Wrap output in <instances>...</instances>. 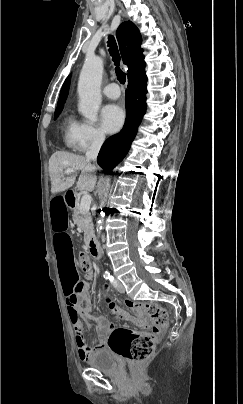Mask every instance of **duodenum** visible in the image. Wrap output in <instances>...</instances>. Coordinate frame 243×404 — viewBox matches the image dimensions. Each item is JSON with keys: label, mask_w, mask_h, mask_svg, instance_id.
I'll return each instance as SVG.
<instances>
[{"label": "duodenum", "mask_w": 243, "mask_h": 404, "mask_svg": "<svg viewBox=\"0 0 243 404\" xmlns=\"http://www.w3.org/2000/svg\"><path fill=\"white\" fill-rule=\"evenodd\" d=\"M65 198H66L67 205L70 209L76 210L78 208V197H77V194L72 189L66 190ZM87 247H88L90 254L95 259L100 258L99 247H98L97 241L95 239H93V238L89 239L88 243H87Z\"/></svg>", "instance_id": "duodenum-1"}]
</instances>
